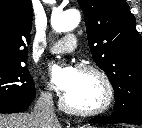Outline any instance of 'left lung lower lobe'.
Returning <instances> with one entry per match:
<instances>
[{
  "label": "left lung lower lobe",
  "mask_w": 142,
  "mask_h": 128,
  "mask_svg": "<svg viewBox=\"0 0 142 128\" xmlns=\"http://www.w3.org/2000/svg\"><path fill=\"white\" fill-rule=\"evenodd\" d=\"M90 122L94 123H128L134 125H142V113H133L122 116L111 115L110 117H97Z\"/></svg>",
  "instance_id": "obj_1"
}]
</instances>
